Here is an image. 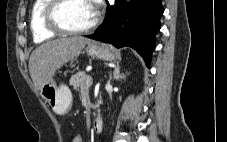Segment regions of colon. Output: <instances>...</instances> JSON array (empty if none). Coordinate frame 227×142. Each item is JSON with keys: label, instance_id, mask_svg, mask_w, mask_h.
<instances>
[{"label": "colon", "instance_id": "1", "mask_svg": "<svg viewBox=\"0 0 227 142\" xmlns=\"http://www.w3.org/2000/svg\"><path fill=\"white\" fill-rule=\"evenodd\" d=\"M70 142H84L83 136L79 132H75L71 136Z\"/></svg>", "mask_w": 227, "mask_h": 142}]
</instances>
